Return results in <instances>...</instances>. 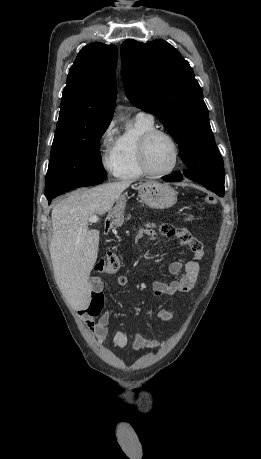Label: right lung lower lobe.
<instances>
[{"instance_id":"right-lung-lower-lobe-1","label":"right lung lower lobe","mask_w":261,"mask_h":459,"mask_svg":"<svg viewBox=\"0 0 261 459\" xmlns=\"http://www.w3.org/2000/svg\"><path fill=\"white\" fill-rule=\"evenodd\" d=\"M102 182H103V181L95 182V183H88V184H83V185H80V186H77V187H87V186L94 185V184H99V183H102ZM75 188H76V187H75ZM55 197H56V196H54V197H49V198H47V199H48L49 202H51V200H52L53 198H55Z\"/></svg>"}]
</instances>
